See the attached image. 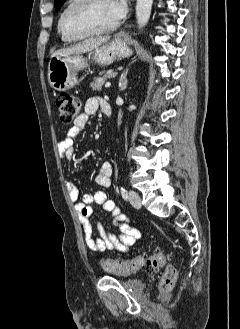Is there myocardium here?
<instances>
[{
    "instance_id": "myocardium-1",
    "label": "myocardium",
    "mask_w": 240,
    "mask_h": 329,
    "mask_svg": "<svg viewBox=\"0 0 240 329\" xmlns=\"http://www.w3.org/2000/svg\"><path fill=\"white\" fill-rule=\"evenodd\" d=\"M92 2H94V0H73V2L64 10L61 17V30L67 38L71 40H81L88 37L107 34L118 28L119 22L117 21L116 23L101 29H93L81 33L72 31L68 25V21L71 15L77 10L88 6Z\"/></svg>"
}]
</instances>
